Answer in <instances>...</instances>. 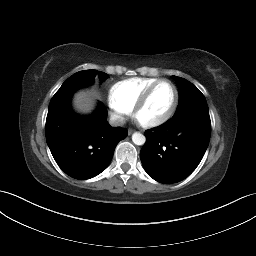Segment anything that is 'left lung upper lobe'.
<instances>
[{
  "mask_svg": "<svg viewBox=\"0 0 256 256\" xmlns=\"http://www.w3.org/2000/svg\"><path fill=\"white\" fill-rule=\"evenodd\" d=\"M173 79L179 90V104L174 116L192 110L209 113L204 95L192 83L177 76H173Z\"/></svg>",
  "mask_w": 256,
  "mask_h": 256,
  "instance_id": "5c2ea615",
  "label": "left lung upper lobe"
}]
</instances>
